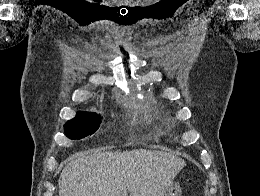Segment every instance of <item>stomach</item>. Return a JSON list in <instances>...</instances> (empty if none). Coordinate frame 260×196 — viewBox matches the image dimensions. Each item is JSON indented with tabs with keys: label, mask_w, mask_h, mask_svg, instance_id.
I'll list each match as a JSON object with an SVG mask.
<instances>
[{
	"label": "stomach",
	"mask_w": 260,
	"mask_h": 196,
	"mask_svg": "<svg viewBox=\"0 0 260 196\" xmlns=\"http://www.w3.org/2000/svg\"><path fill=\"white\" fill-rule=\"evenodd\" d=\"M183 187H168V193H162L161 196H182Z\"/></svg>",
	"instance_id": "1"
}]
</instances>
